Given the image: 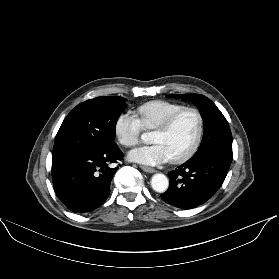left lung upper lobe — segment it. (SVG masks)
<instances>
[{"instance_id": "obj_1", "label": "left lung upper lobe", "mask_w": 279, "mask_h": 279, "mask_svg": "<svg viewBox=\"0 0 279 279\" xmlns=\"http://www.w3.org/2000/svg\"><path fill=\"white\" fill-rule=\"evenodd\" d=\"M172 98L193 101L200 110L204 121V134L201 145L192 158L207 153L220 154L232 160V135L229 124L216 105L199 94H171Z\"/></svg>"}]
</instances>
